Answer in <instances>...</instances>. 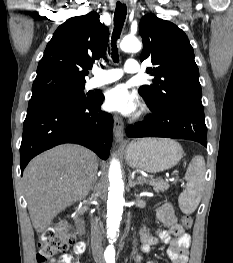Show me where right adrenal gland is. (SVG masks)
Segmentation results:
<instances>
[{
    "mask_svg": "<svg viewBox=\"0 0 233 263\" xmlns=\"http://www.w3.org/2000/svg\"><path fill=\"white\" fill-rule=\"evenodd\" d=\"M93 190V187H91L90 191Z\"/></svg>",
    "mask_w": 233,
    "mask_h": 263,
    "instance_id": "2a0ac1e0",
    "label": "right adrenal gland"
}]
</instances>
